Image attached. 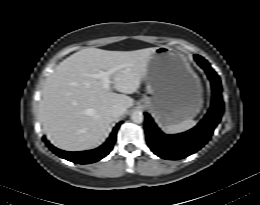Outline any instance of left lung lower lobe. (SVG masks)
Listing matches in <instances>:
<instances>
[{
  "label": "left lung lower lobe",
  "mask_w": 260,
  "mask_h": 205,
  "mask_svg": "<svg viewBox=\"0 0 260 205\" xmlns=\"http://www.w3.org/2000/svg\"><path fill=\"white\" fill-rule=\"evenodd\" d=\"M197 63L206 71L213 89L211 108L201 122L193 129L176 135H166L155 125L149 114L146 116V140L150 149L159 157L168 160L185 158L203 147L219 123L224 102L221 96V82L218 75L205 60L195 55Z\"/></svg>",
  "instance_id": "0a47b994"
}]
</instances>
